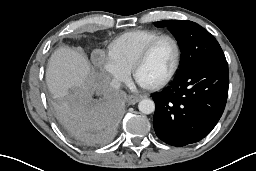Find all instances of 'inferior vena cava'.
I'll use <instances>...</instances> for the list:
<instances>
[{"mask_svg": "<svg viewBox=\"0 0 256 171\" xmlns=\"http://www.w3.org/2000/svg\"><path fill=\"white\" fill-rule=\"evenodd\" d=\"M110 86H111L113 89H119L120 86H121V83H120L119 80H117V79H112V81L110 82Z\"/></svg>", "mask_w": 256, "mask_h": 171, "instance_id": "obj_1", "label": "inferior vena cava"}]
</instances>
